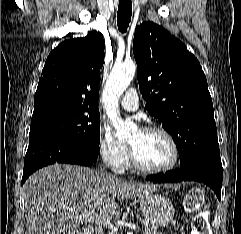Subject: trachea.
<instances>
[{
    "mask_svg": "<svg viewBox=\"0 0 241 234\" xmlns=\"http://www.w3.org/2000/svg\"><path fill=\"white\" fill-rule=\"evenodd\" d=\"M132 1L120 0L117 13V25L120 32L125 33L131 21Z\"/></svg>",
    "mask_w": 241,
    "mask_h": 234,
    "instance_id": "trachea-1",
    "label": "trachea"
}]
</instances>
